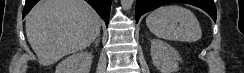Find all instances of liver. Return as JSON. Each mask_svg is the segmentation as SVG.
Segmentation results:
<instances>
[{
  "instance_id": "liver-1",
  "label": "liver",
  "mask_w": 244,
  "mask_h": 73,
  "mask_svg": "<svg viewBox=\"0 0 244 73\" xmlns=\"http://www.w3.org/2000/svg\"><path fill=\"white\" fill-rule=\"evenodd\" d=\"M27 39L43 66L88 47L101 19L84 0H41L26 16Z\"/></svg>"
}]
</instances>
